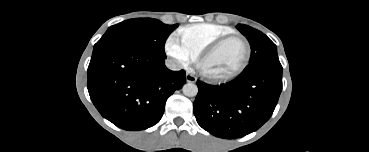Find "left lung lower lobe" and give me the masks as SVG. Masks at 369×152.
<instances>
[{"label": "left lung lower lobe", "mask_w": 369, "mask_h": 152, "mask_svg": "<svg viewBox=\"0 0 369 152\" xmlns=\"http://www.w3.org/2000/svg\"><path fill=\"white\" fill-rule=\"evenodd\" d=\"M194 115L212 135L235 139L259 129L272 115L282 90V68L241 73L220 85L197 81Z\"/></svg>", "instance_id": "left-lung-lower-lobe-1"}]
</instances>
